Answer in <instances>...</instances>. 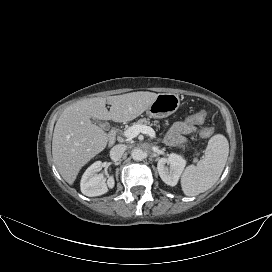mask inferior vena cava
<instances>
[{
  "mask_svg": "<svg viewBox=\"0 0 272 272\" xmlns=\"http://www.w3.org/2000/svg\"><path fill=\"white\" fill-rule=\"evenodd\" d=\"M127 146L124 144H118L115 145L111 150H110V157L113 161H118L124 154Z\"/></svg>",
  "mask_w": 272,
  "mask_h": 272,
  "instance_id": "inferior-vena-cava-1",
  "label": "inferior vena cava"
}]
</instances>
